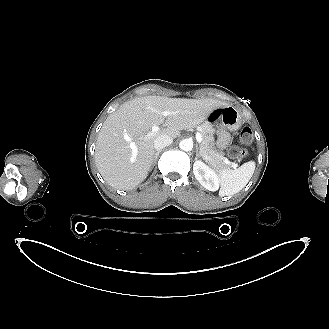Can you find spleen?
<instances>
[{
	"instance_id": "1",
	"label": "spleen",
	"mask_w": 329,
	"mask_h": 329,
	"mask_svg": "<svg viewBox=\"0 0 329 329\" xmlns=\"http://www.w3.org/2000/svg\"><path fill=\"white\" fill-rule=\"evenodd\" d=\"M255 166L254 161H249L235 170L228 168L219 170L221 182L219 195L229 196L241 191L251 179Z\"/></svg>"
}]
</instances>
